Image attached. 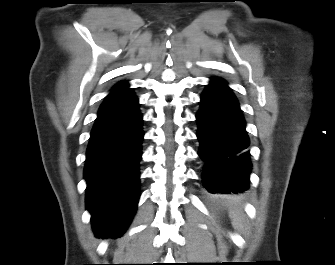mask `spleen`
<instances>
[{"mask_svg":"<svg viewBox=\"0 0 335 265\" xmlns=\"http://www.w3.org/2000/svg\"><path fill=\"white\" fill-rule=\"evenodd\" d=\"M233 225H234L236 228L240 227V224H239V218L236 217L235 215H234Z\"/></svg>","mask_w":335,"mask_h":265,"instance_id":"spleen-1","label":"spleen"}]
</instances>
